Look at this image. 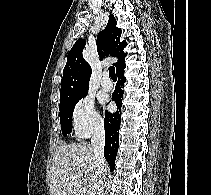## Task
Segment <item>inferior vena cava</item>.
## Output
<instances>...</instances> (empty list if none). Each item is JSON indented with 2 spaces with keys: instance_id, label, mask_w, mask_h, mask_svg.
<instances>
[{
  "instance_id": "602c4592",
  "label": "inferior vena cava",
  "mask_w": 211,
  "mask_h": 195,
  "mask_svg": "<svg viewBox=\"0 0 211 195\" xmlns=\"http://www.w3.org/2000/svg\"><path fill=\"white\" fill-rule=\"evenodd\" d=\"M91 145L94 152L95 176L90 195H103V185L107 172V164L104 157L105 131L102 124L98 125L94 129V133L91 138Z\"/></svg>"
}]
</instances>
